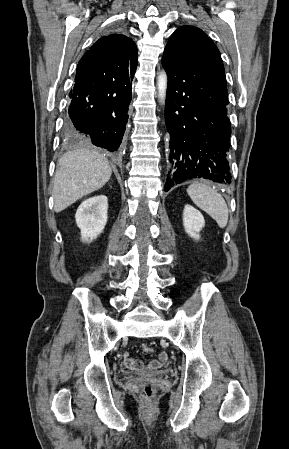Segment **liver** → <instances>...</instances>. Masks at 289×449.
I'll list each match as a JSON object with an SVG mask.
<instances>
[{
	"instance_id": "liver-1",
	"label": "liver",
	"mask_w": 289,
	"mask_h": 449,
	"mask_svg": "<svg viewBox=\"0 0 289 449\" xmlns=\"http://www.w3.org/2000/svg\"><path fill=\"white\" fill-rule=\"evenodd\" d=\"M112 174L108 160L96 151L82 148L65 153L54 177V210L61 212L83 196L103 187Z\"/></svg>"
}]
</instances>
